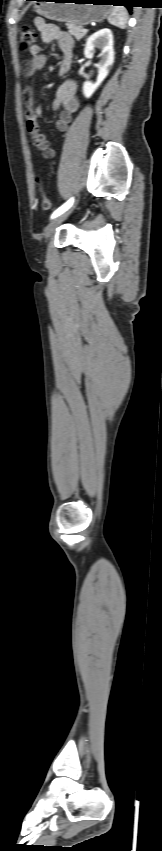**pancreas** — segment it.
Returning <instances> with one entry per match:
<instances>
[{"mask_svg": "<svg viewBox=\"0 0 162 851\" xmlns=\"http://www.w3.org/2000/svg\"><path fill=\"white\" fill-rule=\"evenodd\" d=\"M67 29L70 35H73L77 40H80L86 35V32H83V27L80 25H76L73 23H67Z\"/></svg>", "mask_w": 162, "mask_h": 851, "instance_id": "1", "label": "pancreas"}]
</instances>
